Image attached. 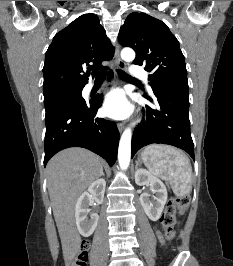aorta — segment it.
Here are the masks:
<instances>
[{
    "label": "aorta",
    "mask_w": 233,
    "mask_h": 266,
    "mask_svg": "<svg viewBox=\"0 0 233 266\" xmlns=\"http://www.w3.org/2000/svg\"><path fill=\"white\" fill-rule=\"evenodd\" d=\"M121 58L126 62H132L135 59V52L131 48H124L121 51ZM131 138L132 132L130 128H127L120 139L118 149V161L122 170H126L130 164L131 158Z\"/></svg>",
    "instance_id": "obj_1"
}]
</instances>
